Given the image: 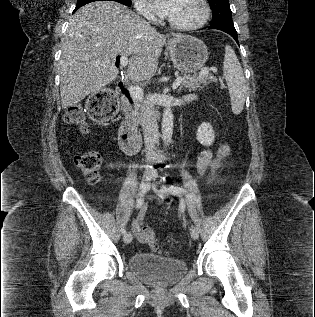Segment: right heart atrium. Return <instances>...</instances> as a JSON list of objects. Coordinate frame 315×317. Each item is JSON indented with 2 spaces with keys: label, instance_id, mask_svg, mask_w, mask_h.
Returning <instances> with one entry per match:
<instances>
[{
  "label": "right heart atrium",
  "instance_id": "1",
  "mask_svg": "<svg viewBox=\"0 0 315 317\" xmlns=\"http://www.w3.org/2000/svg\"><path fill=\"white\" fill-rule=\"evenodd\" d=\"M133 1H134V5L137 12L141 16L147 19H153L155 17L154 12L151 6L149 5V3L147 2V0H133Z\"/></svg>",
  "mask_w": 315,
  "mask_h": 317
}]
</instances>
